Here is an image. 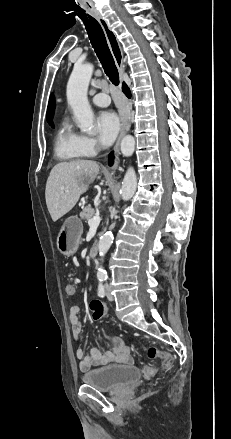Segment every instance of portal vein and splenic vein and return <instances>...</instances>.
<instances>
[{
  "label": "portal vein and splenic vein",
  "mask_w": 231,
  "mask_h": 439,
  "mask_svg": "<svg viewBox=\"0 0 231 439\" xmlns=\"http://www.w3.org/2000/svg\"><path fill=\"white\" fill-rule=\"evenodd\" d=\"M101 217L96 215L88 221L90 227H97L100 224Z\"/></svg>",
  "instance_id": "1"
}]
</instances>
